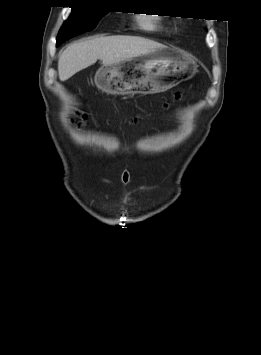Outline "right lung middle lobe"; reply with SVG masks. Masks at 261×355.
I'll return each mask as SVG.
<instances>
[{
  "label": "right lung middle lobe",
  "instance_id": "right-lung-middle-lobe-1",
  "mask_svg": "<svg viewBox=\"0 0 261 355\" xmlns=\"http://www.w3.org/2000/svg\"><path fill=\"white\" fill-rule=\"evenodd\" d=\"M107 11L74 7L67 21L61 27L57 40H68L81 33L92 30Z\"/></svg>",
  "mask_w": 261,
  "mask_h": 355
}]
</instances>
